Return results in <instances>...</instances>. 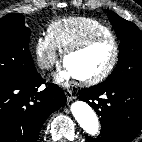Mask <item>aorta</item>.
Returning a JSON list of instances; mask_svg holds the SVG:
<instances>
[{
    "label": "aorta",
    "mask_w": 142,
    "mask_h": 142,
    "mask_svg": "<svg viewBox=\"0 0 142 142\" xmlns=\"http://www.w3.org/2000/svg\"><path fill=\"white\" fill-rule=\"evenodd\" d=\"M70 110L85 132L92 136L99 133L98 118L93 109L86 102L78 100L71 104Z\"/></svg>",
    "instance_id": "1"
}]
</instances>
